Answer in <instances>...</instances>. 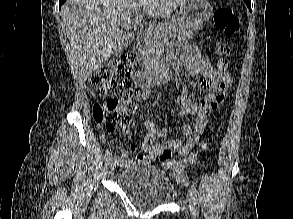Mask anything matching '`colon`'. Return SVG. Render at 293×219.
<instances>
[{
  "mask_svg": "<svg viewBox=\"0 0 293 219\" xmlns=\"http://www.w3.org/2000/svg\"><path fill=\"white\" fill-rule=\"evenodd\" d=\"M215 24L226 36H233L240 30V20L236 13L228 7L219 8L214 15ZM230 51V46L225 42H217L214 52L221 58L216 68L222 74H227L228 62L223 57ZM139 54L131 50L122 56L103 64L89 78L90 86L105 101L95 102L93 105V118L97 125L107 133H113L117 125L130 123L131 116L136 110L135 100L140 92L129 81L133 68L136 65ZM206 148V142H202L201 151ZM200 153L190 154L182 160H172V150L164 149L159 153V159L168 168L173 169L181 179L183 168L193 165Z\"/></svg>",
  "mask_w": 293,
  "mask_h": 219,
  "instance_id": "obj_1",
  "label": "colon"
}]
</instances>
